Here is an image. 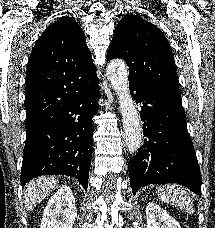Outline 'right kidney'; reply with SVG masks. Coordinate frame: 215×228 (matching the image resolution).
Returning a JSON list of instances; mask_svg holds the SVG:
<instances>
[{
  "label": "right kidney",
  "mask_w": 215,
  "mask_h": 228,
  "mask_svg": "<svg viewBox=\"0 0 215 228\" xmlns=\"http://www.w3.org/2000/svg\"><path fill=\"white\" fill-rule=\"evenodd\" d=\"M76 218L73 192L69 186H62L48 200L40 228H72Z\"/></svg>",
  "instance_id": "right-kidney-1"
}]
</instances>
